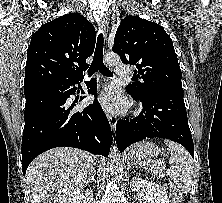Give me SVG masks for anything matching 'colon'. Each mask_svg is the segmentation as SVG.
<instances>
[{
    "mask_svg": "<svg viewBox=\"0 0 222 203\" xmlns=\"http://www.w3.org/2000/svg\"><path fill=\"white\" fill-rule=\"evenodd\" d=\"M170 193H171L172 203H182L181 193L175 185H171Z\"/></svg>",
    "mask_w": 222,
    "mask_h": 203,
    "instance_id": "1",
    "label": "colon"
}]
</instances>
